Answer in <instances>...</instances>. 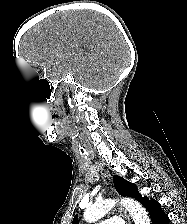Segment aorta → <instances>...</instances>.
<instances>
[{
	"label": "aorta",
	"instance_id": "1",
	"mask_svg": "<svg viewBox=\"0 0 187 224\" xmlns=\"http://www.w3.org/2000/svg\"><path fill=\"white\" fill-rule=\"evenodd\" d=\"M121 204L130 213L135 224H150V219L146 210L134 199H123ZM115 206V201L108 199L95 203L86 208L84 219L88 223H94L101 219Z\"/></svg>",
	"mask_w": 187,
	"mask_h": 224
}]
</instances>
